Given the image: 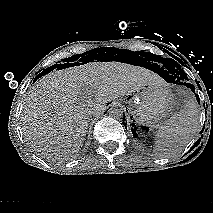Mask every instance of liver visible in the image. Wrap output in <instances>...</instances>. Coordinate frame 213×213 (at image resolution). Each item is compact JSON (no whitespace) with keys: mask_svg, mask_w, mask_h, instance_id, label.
Instances as JSON below:
<instances>
[{"mask_svg":"<svg viewBox=\"0 0 213 213\" xmlns=\"http://www.w3.org/2000/svg\"><path fill=\"white\" fill-rule=\"evenodd\" d=\"M153 72L121 62H90L54 70L28 90L22 113L25 140L42 158L74 157L83 146L88 115L106 103L149 84H162ZM88 96L86 102L82 97Z\"/></svg>","mask_w":213,"mask_h":213,"instance_id":"6515ba94","label":"liver"}]
</instances>
